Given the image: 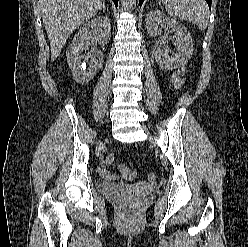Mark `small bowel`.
Instances as JSON below:
<instances>
[{
	"mask_svg": "<svg viewBox=\"0 0 248 247\" xmlns=\"http://www.w3.org/2000/svg\"><path fill=\"white\" fill-rule=\"evenodd\" d=\"M98 170L100 175L106 180H114L117 178V175L110 173L104 165H100Z\"/></svg>",
	"mask_w": 248,
	"mask_h": 247,
	"instance_id": "obj_1",
	"label": "small bowel"
}]
</instances>
